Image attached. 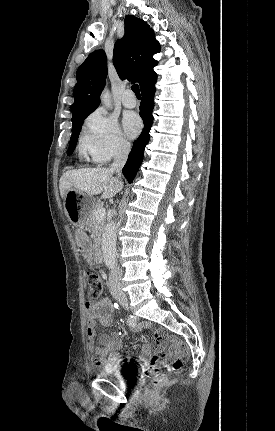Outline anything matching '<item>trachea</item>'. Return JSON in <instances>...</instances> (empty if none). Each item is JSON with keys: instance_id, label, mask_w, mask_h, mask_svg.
Returning a JSON list of instances; mask_svg holds the SVG:
<instances>
[{"instance_id": "obj_1", "label": "trachea", "mask_w": 275, "mask_h": 431, "mask_svg": "<svg viewBox=\"0 0 275 431\" xmlns=\"http://www.w3.org/2000/svg\"><path fill=\"white\" fill-rule=\"evenodd\" d=\"M131 88L137 97L141 96L138 84H134Z\"/></svg>"}]
</instances>
